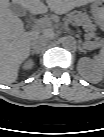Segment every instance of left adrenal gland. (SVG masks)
Returning <instances> with one entry per match:
<instances>
[{"mask_svg": "<svg viewBox=\"0 0 104 137\" xmlns=\"http://www.w3.org/2000/svg\"><path fill=\"white\" fill-rule=\"evenodd\" d=\"M79 51L84 53L86 52L82 46H79Z\"/></svg>", "mask_w": 104, "mask_h": 137, "instance_id": "left-adrenal-gland-1", "label": "left adrenal gland"}]
</instances>
